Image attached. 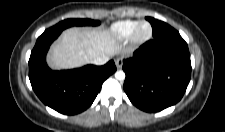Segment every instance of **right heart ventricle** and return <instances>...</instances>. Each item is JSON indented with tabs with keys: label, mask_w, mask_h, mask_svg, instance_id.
Wrapping results in <instances>:
<instances>
[{
	"label": "right heart ventricle",
	"mask_w": 225,
	"mask_h": 132,
	"mask_svg": "<svg viewBox=\"0 0 225 132\" xmlns=\"http://www.w3.org/2000/svg\"><path fill=\"white\" fill-rule=\"evenodd\" d=\"M138 23L136 20L117 21L110 26L108 35L114 40L128 39Z\"/></svg>",
	"instance_id": "right-heart-ventricle-1"
}]
</instances>
